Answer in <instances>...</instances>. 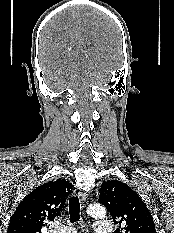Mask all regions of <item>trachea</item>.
Instances as JSON below:
<instances>
[{"label":"trachea","mask_w":174,"mask_h":233,"mask_svg":"<svg viewBox=\"0 0 174 233\" xmlns=\"http://www.w3.org/2000/svg\"><path fill=\"white\" fill-rule=\"evenodd\" d=\"M70 222L74 223L80 219V202L77 196L69 199Z\"/></svg>","instance_id":"trachea-1"}]
</instances>
